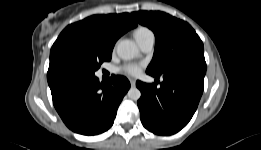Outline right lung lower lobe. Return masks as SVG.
Here are the masks:
<instances>
[{
	"mask_svg": "<svg viewBox=\"0 0 261 150\" xmlns=\"http://www.w3.org/2000/svg\"><path fill=\"white\" fill-rule=\"evenodd\" d=\"M129 88L123 76H112L102 84L95 75L59 80L50 86L53 104L63 122L83 135L100 134L112 126Z\"/></svg>",
	"mask_w": 261,
	"mask_h": 150,
	"instance_id": "right-lung-lower-lobe-1",
	"label": "right lung lower lobe"
}]
</instances>
